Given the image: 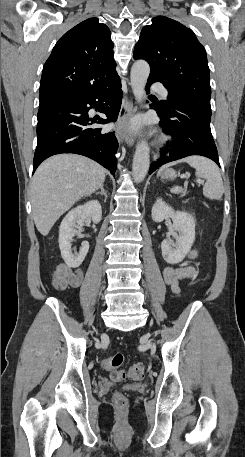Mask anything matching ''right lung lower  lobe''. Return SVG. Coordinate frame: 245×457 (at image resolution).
Wrapping results in <instances>:
<instances>
[{
	"label": "right lung lower lobe",
	"instance_id": "right-lung-lower-lobe-1",
	"mask_svg": "<svg viewBox=\"0 0 245 457\" xmlns=\"http://www.w3.org/2000/svg\"><path fill=\"white\" fill-rule=\"evenodd\" d=\"M121 100L118 76L92 90L41 105L38 111L33 172L43 160L52 155L76 153L97 161L114 175L117 169V139L114 133H104L101 128H93L91 125L116 121ZM94 107L104 113L107 119L89 118L88 111Z\"/></svg>",
	"mask_w": 245,
	"mask_h": 457
}]
</instances>
